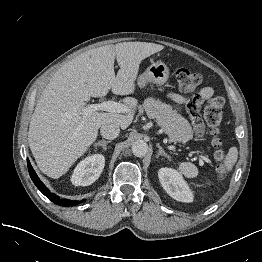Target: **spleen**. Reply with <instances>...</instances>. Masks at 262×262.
Here are the masks:
<instances>
[{
    "label": "spleen",
    "instance_id": "1",
    "mask_svg": "<svg viewBox=\"0 0 262 262\" xmlns=\"http://www.w3.org/2000/svg\"><path fill=\"white\" fill-rule=\"evenodd\" d=\"M238 158V150L236 147H231L225 158L224 167L227 171H231ZM179 171L187 178H194L198 175L197 167L190 162H182L179 167Z\"/></svg>",
    "mask_w": 262,
    "mask_h": 262
}]
</instances>
